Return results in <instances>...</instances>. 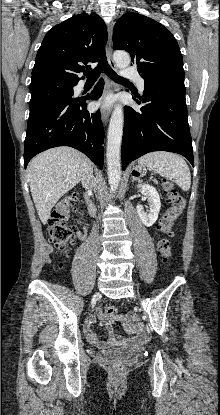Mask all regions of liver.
Masks as SVG:
<instances>
[{
	"label": "liver",
	"mask_w": 220,
	"mask_h": 415,
	"mask_svg": "<svg viewBox=\"0 0 220 415\" xmlns=\"http://www.w3.org/2000/svg\"><path fill=\"white\" fill-rule=\"evenodd\" d=\"M93 164L83 153L70 147H56L32 159L28 182L38 216L47 223L58 200L90 175Z\"/></svg>",
	"instance_id": "1"
}]
</instances>
